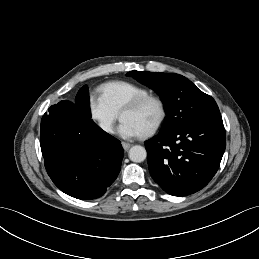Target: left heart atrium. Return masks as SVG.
I'll return each mask as SVG.
<instances>
[{
	"label": "left heart atrium",
	"mask_w": 259,
	"mask_h": 259,
	"mask_svg": "<svg viewBox=\"0 0 259 259\" xmlns=\"http://www.w3.org/2000/svg\"><path fill=\"white\" fill-rule=\"evenodd\" d=\"M118 134L123 138L130 139L138 137L141 133L132 123L122 121L118 127Z\"/></svg>",
	"instance_id": "1"
}]
</instances>
